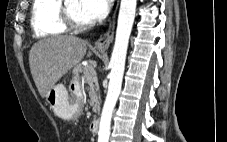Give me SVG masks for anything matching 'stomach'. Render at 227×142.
<instances>
[{"label":"stomach","mask_w":227,"mask_h":142,"mask_svg":"<svg viewBox=\"0 0 227 142\" xmlns=\"http://www.w3.org/2000/svg\"><path fill=\"white\" fill-rule=\"evenodd\" d=\"M45 98L54 113L62 119L72 120L81 111V102H72V98L63 84L51 88Z\"/></svg>","instance_id":"0dacf381"}]
</instances>
